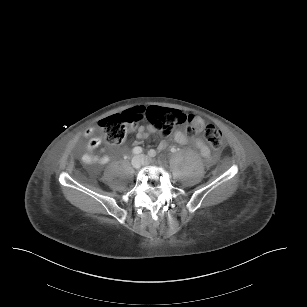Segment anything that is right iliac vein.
<instances>
[{
  "label": "right iliac vein",
  "instance_id": "right-iliac-vein-1",
  "mask_svg": "<svg viewBox=\"0 0 307 307\" xmlns=\"http://www.w3.org/2000/svg\"><path fill=\"white\" fill-rule=\"evenodd\" d=\"M142 160L139 156H134L131 160V165L134 169H139L141 167Z\"/></svg>",
  "mask_w": 307,
  "mask_h": 307
}]
</instances>
